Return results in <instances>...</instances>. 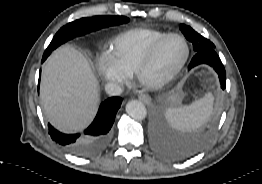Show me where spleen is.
I'll return each mask as SVG.
<instances>
[{
  "mask_svg": "<svg viewBox=\"0 0 262 184\" xmlns=\"http://www.w3.org/2000/svg\"><path fill=\"white\" fill-rule=\"evenodd\" d=\"M214 97L207 93L192 104L178 108H168L166 117L173 127L180 130H193L200 127L209 118Z\"/></svg>",
  "mask_w": 262,
  "mask_h": 184,
  "instance_id": "spleen-1",
  "label": "spleen"
}]
</instances>
